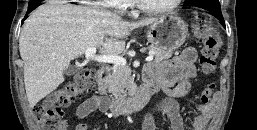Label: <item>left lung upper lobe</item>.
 Returning a JSON list of instances; mask_svg holds the SVG:
<instances>
[{
    "label": "left lung upper lobe",
    "mask_w": 257,
    "mask_h": 130,
    "mask_svg": "<svg viewBox=\"0 0 257 130\" xmlns=\"http://www.w3.org/2000/svg\"><path fill=\"white\" fill-rule=\"evenodd\" d=\"M185 5H199L205 8L210 6L219 7L220 3L218 0H186Z\"/></svg>",
    "instance_id": "1"
}]
</instances>
